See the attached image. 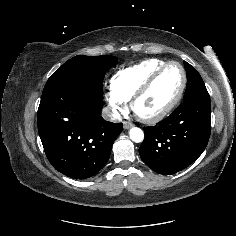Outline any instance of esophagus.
Masks as SVG:
<instances>
[{
    "mask_svg": "<svg viewBox=\"0 0 236 236\" xmlns=\"http://www.w3.org/2000/svg\"><path fill=\"white\" fill-rule=\"evenodd\" d=\"M132 126H133V125H132V123H130V122L124 121V123H123L124 129H129V128H131Z\"/></svg>",
    "mask_w": 236,
    "mask_h": 236,
    "instance_id": "1",
    "label": "esophagus"
}]
</instances>
